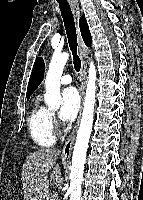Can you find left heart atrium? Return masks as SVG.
<instances>
[{
    "label": "left heart atrium",
    "instance_id": "39dd6f15",
    "mask_svg": "<svg viewBox=\"0 0 143 200\" xmlns=\"http://www.w3.org/2000/svg\"><path fill=\"white\" fill-rule=\"evenodd\" d=\"M80 107V97L74 87L65 88L62 91V104L59 111L60 119L64 123L72 122Z\"/></svg>",
    "mask_w": 143,
    "mask_h": 200
}]
</instances>
